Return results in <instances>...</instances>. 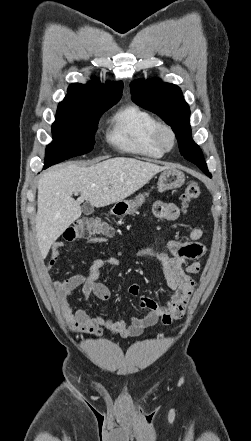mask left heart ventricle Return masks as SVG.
<instances>
[{
	"label": "left heart ventricle",
	"mask_w": 251,
	"mask_h": 441,
	"mask_svg": "<svg viewBox=\"0 0 251 441\" xmlns=\"http://www.w3.org/2000/svg\"><path fill=\"white\" fill-rule=\"evenodd\" d=\"M163 141L166 145H170L171 144V137L168 133H164L163 134Z\"/></svg>",
	"instance_id": "obj_1"
}]
</instances>
